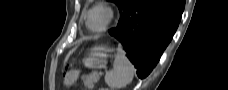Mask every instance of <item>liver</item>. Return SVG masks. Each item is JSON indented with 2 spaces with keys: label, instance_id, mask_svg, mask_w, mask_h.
<instances>
[{
  "label": "liver",
  "instance_id": "liver-1",
  "mask_svg": "<svg viewBox=\"0 0 228 90\" xmlns=\"http://www.w3.org/2000/svg\"><path fill=\"white\" fill-rule=\"evenodd\" d=\"M76 48H73L69 53H68V55L66 56V59H67V57L75 50ZM65 59V60H66Z\"/></svg>",
  "mask_w": 228,
  "mask_h": 90
}]
</instances>
